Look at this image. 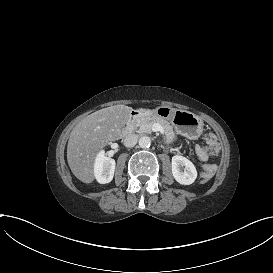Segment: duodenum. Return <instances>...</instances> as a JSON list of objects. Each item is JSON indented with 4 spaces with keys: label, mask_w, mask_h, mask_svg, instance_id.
Masks as SVG:
<instances>
[{
    "label": "duodenum",
    "mask_w": 273,
    "mask_h": 273,
    "mask_svg": "<svg viewBox=\"0 0 273 273\" xmlns=\"http://www.w3.org/2000/svg\"><path fill=\"white\" fill-rule=\"evenodd\" d=\"M143 115H146L145 110H141V109L133 110L131 112V115L129 117V120H128L126 126L123 129V132H122L123 135H129L134 129V125H135L136 120Z\"/></svg>",
    "instance_id": "1"
}]
</instances>
